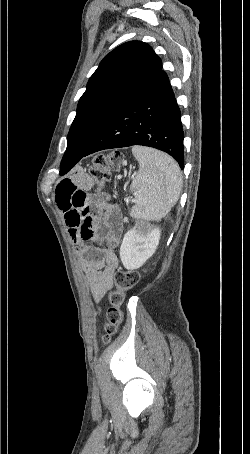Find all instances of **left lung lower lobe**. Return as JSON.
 Instances as JSON below:
<instances>
[{
	"mask_svg": "<svg viewBox=\"0 0 250 454\" xmlns=\"http://www.w3.org/2000/svg\"><path fill=\"white\" fill-rule=\"evenodd\" d=\"M183 138L179 107L167 74L160 71L106 121L84 154H64L60 175L89 154L132 145L162 150L183 169Z\"/></svg>",
	"mask_w": 250,
	"mask_h": 454,
	"instance_id": "left-lung-lower-lobe-1",
	"label": "left lung lower lobe"
}]
</instances>
